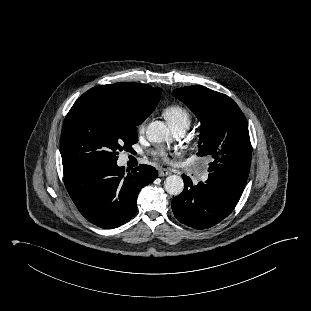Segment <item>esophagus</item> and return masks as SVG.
<instances>
[{
	"label": "esophagus",
	"instance_id": "34e87169",
	"mask_svg": "<svg viewBox=\"0 0 311 311\" xmlns=\"http://www.w3.org/2000/svg\"><path fill=\"white\" fill-rule=\"evenodd\" d=\"M158 173H159V176H167L170 174V171L168 169L162 168V169H159Z\"/></svg>",
	"mask_w": 311,
	"mask_h": 311
}]
</instances>
